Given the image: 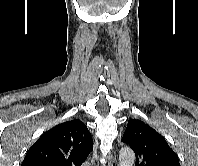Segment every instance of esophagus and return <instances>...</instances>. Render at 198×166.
I'll list each match as a JSON object with an SVG mask.
<instances>
[{"mask_svg": "<svg viewBox=\"0 0 198 166\" xmlns=\"http://www.w3.org/2000/svg\"><path fill=\"white\" fill-rule=\"evenodd\" d=\"M108 166H118V161H117V158L115 156H113V155L109 156Z\"/></svg>", "mask_w": 198, "mask_h": 166, "instance_id": "1", "label": "esophagus"}]
</instances>
